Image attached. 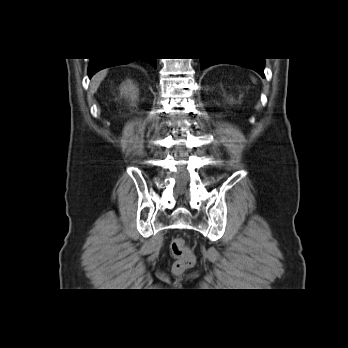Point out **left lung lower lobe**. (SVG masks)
I'll return each instance as SVG.
<instances>
[{
	"label": "left lung lower lobe",
	"mask_w": 348,
	"mask_h": 348,
	"mask_svg": "<svg viewBox=\"0 0 348 348\" xmlns=\"http://www.w3.org/2000/svg\"><path fill=\"white\" fill-rule=\"evenodd\" d=\"M218 63H230L242 65L257 71L262 77H264V60L263 59H251V58H237V59H212L201 58L200 66L207 67Z\"/></svg>",
	"instance_id": "0a47b994"
}]
</instances>
